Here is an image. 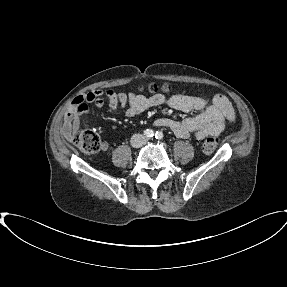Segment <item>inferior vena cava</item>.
<instances>
[{"label":"inferior vena cava","mask_w":287,"mask_h":287,"mask_svg":"<svg viewBox=\"0 0 287 287\" xmlns=\"http://www.w3.org/2000/svg\"><path fill=\"white\" fill-rule=\"evenodd\" d=\"M146 141V138L141 134H135L131 138V144L135 147H140Z\"/></svg>","instance_id":"obj_1"}]
</instances>
